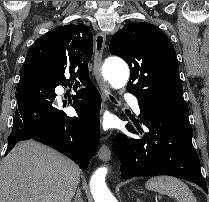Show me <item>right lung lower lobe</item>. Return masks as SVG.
<instances>
[{"label":"right lung lower lobe","mask_w":209,"mask_h":202,"mask_svg":"<svg viewBox=\"0 0 209 202\" xmlns=\"http://www.w3.org/2000/svg\"><path fill=\"white\" fill-rule=\"evenodd\" d=\"M58 85L62 84L50 77L20 78L15 93L18 108L5 156L17 142L33 139L58 150L86 170L98 148L101 98L93 83L86 85V89L63 101V107L71 104L78 114L69 117L54 92Z\"/></svg>","instance_id":"98d812e1"}]
</instances>
